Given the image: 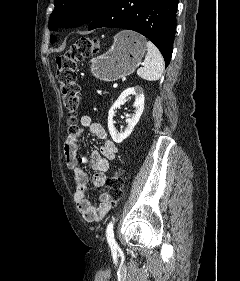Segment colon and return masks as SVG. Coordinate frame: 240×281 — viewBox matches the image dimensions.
Here are the masks:
<instances>
[{"label":"colon","instance_id":"5ec220e1","mask_svg":"<svg viewBox=\"0 0 240 281\" xmlns=\"http://www.w3.org/2000/svg\"><path fill=\"white\" fill-rule=\"evenodd\" d=\"M97 50L98 41L96 39L82 38L73 43L56 60L57 80L60 85L63 104L69 114L67 138L74 135L78 129L76 125V112L80 104V87L77 82L78 63ZM106 184L111 205H115L123 194L124 179L121 170L113 171Z\"/></svg>","mask_w":240,"mask_h":281}]
</instances>
